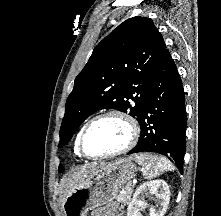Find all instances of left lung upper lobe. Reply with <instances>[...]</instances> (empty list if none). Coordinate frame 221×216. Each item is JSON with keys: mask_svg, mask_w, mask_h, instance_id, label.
Segmentation results:
<instances>
[{"mask_svg": "<svg viewBox=\"0 0 221 216\" xmlns=\"http://www.w3.org/2000/svg\"><path fill=\"white\" fill-rule=\"evenodd\" d=\"M166 50L150 18L132 17L115 28L95 47L75 79L58 147L67 144L81 123L101 109L129 112L139 121L151 77Z\"/></svg>", "mask_w": 221, "mask_h": 216, "instance_id": "obj_1", "label": "left lung upper lobe"}]
</instances>
